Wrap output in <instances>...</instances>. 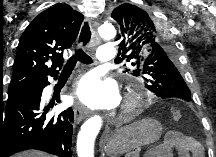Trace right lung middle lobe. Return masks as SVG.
Segmentation results:
<instances>
[{"instance_id": "right-lung-middle-lobe-1", "label": "right lung middle lobe", "mask_w": 216, "mask_h": 157, "mask_svg": "<svg viewBox=\"0 0 216 157\" xmlns=\"http://www.w3.org/2000/svg\"><path fill=\"white\" fill-rule=\"evenodd\" d=\"M21 90L19 91H14V92H8V100L14 98L17 96V94L20 92Z\"/></svg>"}]
</instances>
